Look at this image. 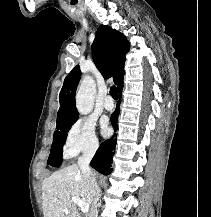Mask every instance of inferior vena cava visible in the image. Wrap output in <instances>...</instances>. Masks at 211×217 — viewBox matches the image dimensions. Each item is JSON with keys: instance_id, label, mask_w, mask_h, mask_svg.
I'll return each instance as SVG.
<instances>
[{"instance_id": "obj_1", "label": "inferior vena cava", "mask_w": 211, "mask_h": 217, "mask_svg": "<svg viewBox=\"0 0 211 217\" xmlns=\"http://www.w3.org/2000/svg\"><path fill=\"white\" fill-rule=\"evenodd\" d=\"M96 150H97V146L90 147L78 159V166L80 167L83 174L85 175L90 190L91 208L89 212V217H98L97 207H98V200H99L100 193L96 183V179L89 167L90 161L93 158Z\"/></svg>"}]
</instances>
